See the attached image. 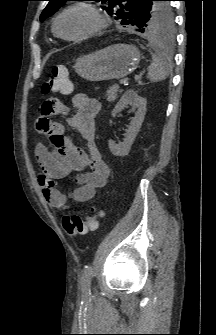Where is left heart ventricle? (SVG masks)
Masks as SVG:
<instances>
[{"label":"left heart ventricle","mask_w":216,"mask_h":335,"mask_svg":"<svg viewBox=\"0 0 216 335\" xmlns=\"http://www.w3.org/2000/svg\"><path fill=\"white\" fill-rule=\"evenodd\" d=\"M94 24L93 17L84 10H71L65 13L58 22L59 32L66 37L77 36Z\"/></svg>","instance_id":"left-heart-ventricle-1"}]
</instances>
